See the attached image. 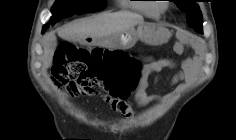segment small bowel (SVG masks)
<instances>
[{"label":"small bowel","instance_id":"small-bowel-1","mask_svg":"<svg viewBox=\"0 0 236 140\" xmlns=\"http://www.w3.org/2000/svg\"><path fill=\"white\" fill-rule=\"evenodd\" d=\"M175 51L178 54L183 53L184 45L182 42L175 45ZM147 62L143 66V72L145 74H155V84H159V75L165 68H179L176 74L170 79L168 85L176 86V91L166 94L164 96H152L146 94L144 91H140L137 97V103L139 106L144 107L153 102H169L175 95L183 89L185 83L193 81L198 73V62L195 59H184L180 64H177L173 59H154L152 57L146 58ZM111 104V103H110ZM114 111L120 112L127 119L133 117L135 111L133 107L125 100L111 104Z\"/></svg>","mask_w":236,"mask_h":140}]
</instances>
